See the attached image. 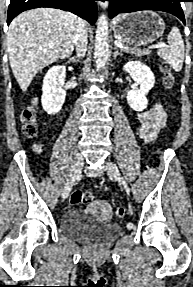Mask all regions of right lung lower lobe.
<instances>
[{"mask_svg": "<svg viewBox=\"0 0 193 287\" xmlns=\"http://www.w3.org/2000/svg\"><path fill=\"white\" fill-rule=\"evenodd\" d=\"M95 1L98 0H10L7 23L9 25L12 19L23 11L39 7H51L70 11L86 19L90 24H94L97 19Z\"/></svg>", "mask_w": 193, "mask_h": 287, "instance_id": "obj_1", "label": "right lung lower lobe"}]
</instances>
